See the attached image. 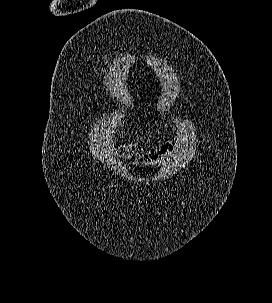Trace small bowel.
Instances as JSON below:
<instances>
[{"label": "small bowel", "mask_w": 272, "mask_h": 303, "mask_svg": "<svg viewBox=\"0 0 272 303\" xmlns=\"http://www.w3.org/2000/svg\"><path fill=\"white\" fill-rule=\"evenodd\" d=\"M176 146L172 141H165L158 147L151 149L147 154H143L144 146L140 143H130L120 146L117 155L121 158L136 157V164L163 165L172 160Z\"/></svg>", "instance_id": "1"}]
</instances>
